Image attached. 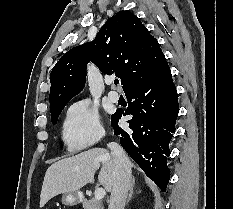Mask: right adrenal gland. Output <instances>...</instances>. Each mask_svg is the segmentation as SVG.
I'll return each mask as SVG.
<instances>
[{"label":"right adrenal gland","instance_id":"2a0ac1e0","mask_svg":"<svg viewBox=\"0 0 233 209\" xmlns=\"http://www.w3.org/2000/svg\"><path fill=\"white\" fill-rule=\"evenodd\" d=\"M134 184H135V178L133 177L132 178V183H131V186H130V193H129L128 198H127V203L131 200V198L133 196V187H134Z\"/></svg>","mask_w":233,"mask_h":209}]
</instances>
